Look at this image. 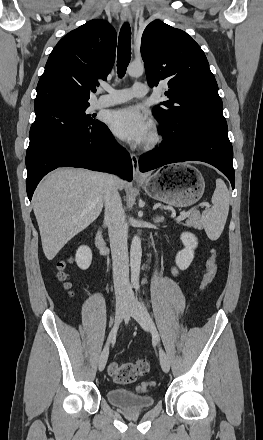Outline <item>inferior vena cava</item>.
Segmentation results:
<instances>
[{"label": "inferior vena cava", "instance_id": "1", "mask_svg": "<svg viewBox=\"0 0 263 440\" xmlns=\"http://www.w3.org/2000/svg\"><path fill=\"white\" fill-rule=\"evenodd\" d=\"M116 180L115 176L109 175V187L104 197V220L108 225L110 238L115 295L117 300H122L131 294V287L129 284L127 247L128 227L125 223L124 210Z\"/></svg>", "mask_w": 263, "mask_h": 440}]
</instances>
